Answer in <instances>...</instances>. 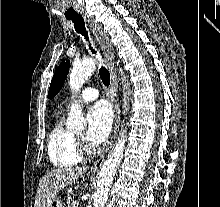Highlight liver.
Segmentation results:
<instances>
[{
    "mask_svg": "<svg viewBox=\"0 0 220 207\" xmlns=\"http://www.w3.org/2000/svg\"><path fill=\"white\" fill-rule=\"evenodd\" d=\"M87 171L86 166L57 168L44 175L39 183L34 207H47L57 193L71 185Z\"/></svg>",
    "mask_w": 220,
    "mask_h": 207,
    "instance_id": "obj_1",
    "label": "liver"
}]
</instances>
